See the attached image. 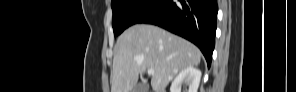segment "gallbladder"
<instances>
[{
	"instance_id": "bac80fb5",
	"label": "gallbladder",
	"mask_w": 296,
	"mask_h": 92,
	"mask_svg": "<svg viewBox=\"0 0 296 92\" xmlns=\"http://www.w3.org/2000/svg\"><path fill=\"white\" fill-rule=\"evenodd\" d=\"M147 87L148 86L146 83H139L135 85V87L133 88V92H146Z\"/></svg>"
}]
</instances>
